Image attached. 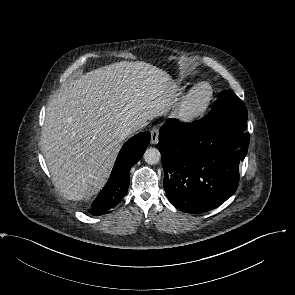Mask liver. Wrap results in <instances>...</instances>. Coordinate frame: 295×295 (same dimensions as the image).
I'll return each mask as SVG.
<instances>
[{"label": "liver", "instance_id": "obj_1", "mask_svg": "<svg viewBox=\"0 0 295 295\" xmlns=\"http://www.w3.org/2000/svg\"><path fill=\"white\" fill-rule=\"evenodd\" d=\"M175 82L143 61H120L71 81L50 101L42 152L56 187L69 200L105 184L128 126L143 128L172 105Z\"/></svg>", "mask_w": 295, "mask_h": 295}]
</instances>
